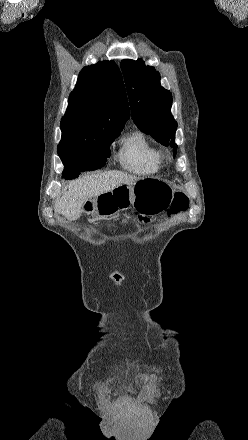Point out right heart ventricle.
I'll use <instances>...</instances> for the list:
<instances>
[{
    "mask_svg": "<svg viewBox=\"0 0 248 440\" xmlns=\"http://www.w3.org/2000/svg\"><path fill=\"white\" fill-rule=\"evenodd\" d=\"M117 156L122 168L136 175H152L161 168L160 151L141 132L122 139Z\"/></svg>",
    "mask_w": 248,
    "mask_h": 440,
    "instance_id": "e07e8e85",
    "label": "right heart ventricle"
}]
</instances>
